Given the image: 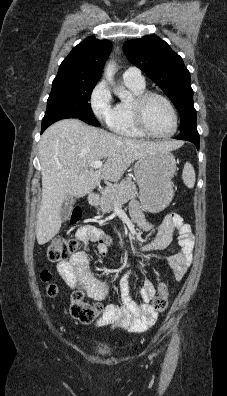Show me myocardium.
Segmentation results:
<instances>
[{"mask_svg": "<svg viewBox=\"0 0 227 396\" xmlns=\"http://www.w3.org/2000/svg\"><path fill=\"white\" fill-rule=\"evenodd\" d=\"M151 98H159L161 99L170 109L173 119H174V126L171 132L166 134H158L153 132L147 125L145 120V107L147 102ZM132 110L135 123L137 127L147 136L155 137V138H170L177 132L178 125H179V117L177 110L172 103V101L165 95L155 92V91H145L142 94L136 96L132 102Z\"/></svg>", "mask_w": 227, "mask_h": 396, "instance_id": "f54148a6", "label": "myocardium"}]
</instances>
